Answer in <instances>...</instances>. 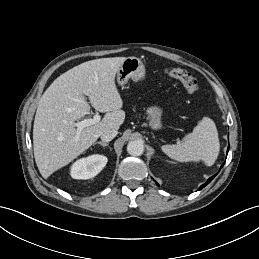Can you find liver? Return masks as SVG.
Returning a JSON list of instances; mask_svg holds the SVG:
<instances>
[{
  "label": "liver",
  "mask_w": 259,
  "mask_h": 259,
  "mask_svg": "<svg viewBox=\"0 0 259 259\" xmlns=\"http://www.w3.org/2000/svg\"><path fill=\"white\" fill-rule=\"evenodd\" d=\"M125 57L84 62L56 78L40 98L33 126L34 157L48 178L86 151L105 130H118L125 119L115 76ZM95 110L106 113L101 122L76 134L73 123Z\"/></svg>",
  "instance_id": "obj_1"
}]
</instances>
